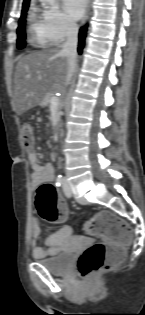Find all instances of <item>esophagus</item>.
<instances>
[{
    "label": "esophagus",
    "instance_id": "esophagus-1",
    "mask_svg": "<svg viewBox=\"0 0 145 315\" xmlns=\"http://www.w3.org/2000/svg\"><path fill=\"white\" fill-rule=\"evenodd\" d=\"M90 8H91V0H87V5H86V13L84 17V22L87 20L88 15L90 13Z\"/></svg>",
    "mask_w": 145,
    "mask_h": 315
}]
</instances>
